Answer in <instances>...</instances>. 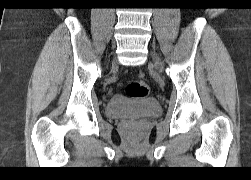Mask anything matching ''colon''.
I'll use <instances>...</instances> for the list:
<instances>
[{
    "label": "colon",
    "instance_id": "colon-1",
    "mask_svg": "<svg viewBox=\"0 0 251 180\" xmlns=\"http://www.w3.org/2000/svg\"><path fill=\"white\" fill-rule=\"evenodd\" d=\"M149 92V85L144 81H131L126 87L127 95L133 98H144Z\"/></svg>",
    "mask_w": 251,
    "mask_h": 180
}]
</instances>
